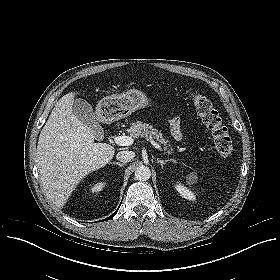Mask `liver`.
<instances>
[{
    "instance_id": "1",
    "label": "liver",
    "mask_w": 280,
    "mask_h": 280,
    "mask_svg": "<svg viewBox=\"0 0 280 280\" xmlns=\"http://www.w3.org/2000/svg\"><path fill=\"white\" fill-rule=\"evenodd\" d=\"M76 93L60 98L41 130L37 145V168L47 197L63 206L76 185L90 172L105 166L115 149L94 143L92 129L73 113Z\"/></svg>"
}]
</instances>
